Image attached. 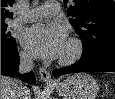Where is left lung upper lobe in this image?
I'll use <instances>...</instances> for the list:
<instances>
[{
    "mask_svg": "<svg viewBox=\"0 0 115 99\" xmlns=\"http://www.w3.org/2000/svg\"><path fill=\"white\" fill-rule=\"evenodd\" d=\"M71 25L83 44L82 56L115 49V2L113 0H64Z\"/></svg>",
    "mask_w": 115,
    "mask_h": 99,
    "instance_id": "5c2ea615",
    "label": "left lung upper lobe"
}]
</instances>
